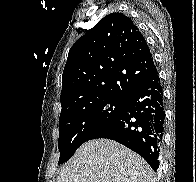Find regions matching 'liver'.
Returning <instances> with one entry per match:
<instances>
[{
	"mask_svg": "<svg viewBox=\"0 0 196 182\" xmlns=\"http://www.w3.org/2000/svg\"><path fill=\"white\" fill-rule=\"evenodd\" d=\"M56 182H156L147 162L108 139L82 144L62 168Z\"/></svg>",
	"mask_w": 196,
	"mask_h": 182,
	"instance_id": "obj_1",
	"label": "liver"
}]
</instances>
